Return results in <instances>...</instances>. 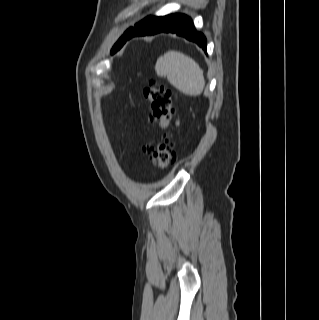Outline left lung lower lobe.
I'll list each match as a JSON object with an SVG mask.
<instances>
[{"label":"left lung lower lobe","mask_w":319,"mask_h":320,"mask_svg":"<svg viewBox=\"0 0 319 320\" xmlns=\"http://www.w3.org/2000/svg\"><path fill=\"white\" fill-rule=\"evenodd\" d=\"M160 32H171L197 43L206 52V38L196 31L192 20L183 14L166 16H149L132 28L126 35L125 42L135 36L154 35ZM122 45V46H123Z\"/></svg>","instance_id":"obj_1"}]
</instances>
